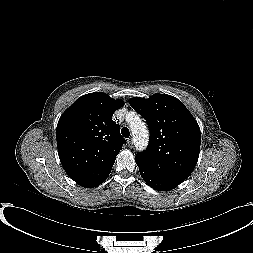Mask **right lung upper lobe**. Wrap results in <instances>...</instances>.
<instances>
[{
    "label": "right lung upper lobe",
    "mask_w": 253,
    "mask_h": 253,
    "mask_svg": "<svg viewBox=\"0 0 253 253\" xmlns=\"http://www.w3.org/2000/svg\"><path fill=\"white\" fill-rule=\"evenodd\" d=\"M102 92L78 98L60 117L57 148L68 176L84 187L100 183L110 174L125 139L120 126L113 122V113L122 107Z\"/></svg>",
    "instance_id": "cb5924a9"
}]
</instances>
